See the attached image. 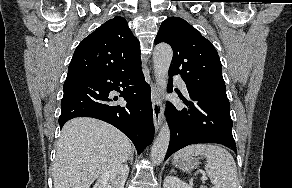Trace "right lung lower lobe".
I'll use <instances>...</instances> for the list:
<instances>
[{
  "mask_svg": "<svg viewBox=\"0 0 292 188\" xmlns=\"http://www.w3.org/2000/svg\"><path fill=\"white\" fill-rule=\"evenodd\" d=\"M113 90L127 101L125 106L118 105V97L110 95ZM83 116L115 126L131 139L140 154L154 137L150 87L141 67L122 73L68 75L59 125Z\"/></svg>",
  "mask_w": 292,
  "mask_h": 188,
  "instance_id": "right-lung-lower-lobe-1",
  "label": "right lung lower lobe"
}]
</instances>
